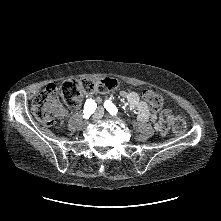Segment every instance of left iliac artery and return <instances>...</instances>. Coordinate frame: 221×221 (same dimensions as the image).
Wrapping results in <instances>:
<instances>
[{
	"instance_id": "44dca946",
	"label": "left iliac artery",
	"mask_w": 221,
	"mask_h": 221,
	"mask_svg": "<svg viewBox=\"0 0 221 221\" xmlns=\"http://www.w3.org/2000/svg\"><path fill=\"white\" fill-rule=\"evenodd\" d=\"M104 107L106 108V110L111 114V115H116L118 112V109L116 108V106L112 103V101L110 100H106L104 102Z\"/></svg>"
}]
</instances>
